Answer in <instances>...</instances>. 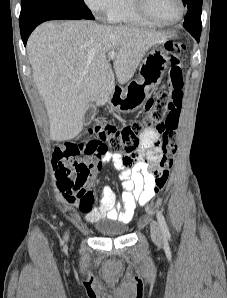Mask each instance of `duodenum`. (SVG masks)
<instances>
[{
    "mask_svg": "<svg viewBox=\"0 0 227 298\" xmlns=\"http://www.w3.org/2000/svg\"><path fill=\"white\" fill-rule=\"evenodd\" d=\"M113 93L118 94L119 93V88L115 87Z\"/></svg>",
    "mask_w": 227,
    "mask_h": 298,
    "instance_id": "obj_1",
    "label": "duodenum"
}]
</instances>
